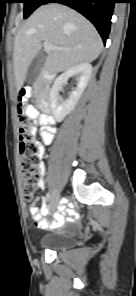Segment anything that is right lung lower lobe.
<instances>
[{
	"mask_svg": "<svg viewBox=\"0 0 136 296\" xmlns=\"http://www.w3.org/2000/svg\"><path fill=\"white\" fill-rule=\"evenodd\" d=\"M116 2L117 0H44L43 4L61 3L77 10L94 24L106 43Z\"/></svg>",
	"mask_w": 136,
	"mask_h": 296,
	"instance_id": "obj_1",
	"label": "right lung lower lobe"
}]
</instances>
